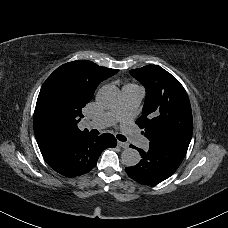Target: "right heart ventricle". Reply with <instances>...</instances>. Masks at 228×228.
Listing matches in <instances>:
<instances>
[{"label":"right heart ventricle","instance_id":"right-heart-ventricle-1","mask_svg":"<svg viewBox=\"0 0 228 228\" xmlns=\"http://www.w3.org/2000/svg\"><path fill=\"white\" fill-rule=\"evenodd\" d=\"M118 83H119L118 80H115L113 82L112 86H114L117 89L118 96H119L120 93L125 92L127 90V88H128L129 85H123V86L119 87L118 86Z\"/></svg>","mask_w":228,"mask_h":228}]
</instances>
